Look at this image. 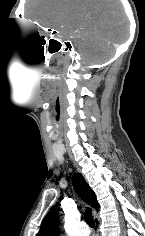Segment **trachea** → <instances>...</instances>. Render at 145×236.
I'll list each match as a JSON object with an SVG mask.
<instances>
[{
	"instance_id": "3493384b",
	"label": "trachea",
	"mask_w": 145,
	"mask_h": 236,
	"mask_svg": "<svg viewBox=\"0 0 145 236\" xmlns=\"http://www.w3.org/2000/svg\"><path fill=\"white\" fill-rule=\"evenodd\" d=\"M84 219L88 225H90L91 227L94 226V220L92 217V210L90 208L86 209V211L84 213Z\"/></svg>"
}]
</instances>
